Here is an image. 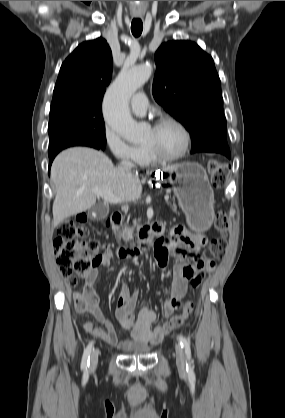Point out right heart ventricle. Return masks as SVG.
Masks as SVG:
<instances>
[{
    "label": "right heart ventricle",
    "mask_w": 285,
    "mask_h": 418,
    "mask_svg": "<svg viewBox=\"0 0 285 418\" xmlns=\"http://www.w3.org/2000/svg\"><path fill=\"white\" fill-rule=\"evenodd\" d=\"M137 148H138V152H137V162L138 163L144 164V165H149V164H153V163L156 162L148 156V154L146 153V151L143 147H137Z\"/></svg>",
    "instance_id": "1"
}]
</instances>
